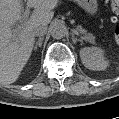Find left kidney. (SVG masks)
Masks as SVG:
<instances>
[{
    "label": "left kidney",
    "mask_w": 119,
    "mask_h": 119,
    "mask_svg": "<svg viewBox=\"0 0 119 119\" xmlns=\"http://www.w3.org/2000/svg\"><path fill=\"white\" fill-rule=\"evenodd\" d=\"M83 65L94 71L106 69L108 61L105 60L104 51L98 47H85L80 50Z\"/></svg>",
    "instance_id": "1"
}]
</instances>
